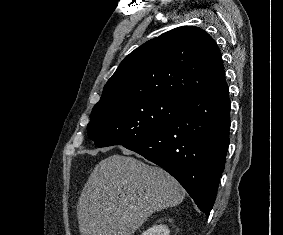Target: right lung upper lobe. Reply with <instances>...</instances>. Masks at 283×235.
<instances>
[{"mask_svg":"<svg viewBox=\"0 0 283 235\" xmlns=\"http://www.w3.org/2000/svg\"><path fill=\"white\" fill-rule=\"evenodd\" d=\"M225 82L215 41L199 27L183 26L149 40L126 56L95 106L130 97L182 101Z\"/></svg>","mask_w":283,"mask_h":235,"instance_id":"cb5924a9","label":"right lung upper lobe"}]
</instances>
